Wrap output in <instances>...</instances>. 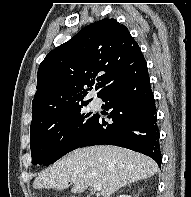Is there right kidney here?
<instances>
[{"instance_id":"1","label":"right kidney","mask_w":191,"mask_h":197,"mask_svg":"<svg viewBox=\"0 0 191 197\" xmlns=\"http://www.w3.org/2000/svg\"><path fill=\"white\" fill-rule=\"evenodd\" d=\"M118 197H131V196L130 195H126V194H122V195H120Z\"/></svg>"}]
</instances>
